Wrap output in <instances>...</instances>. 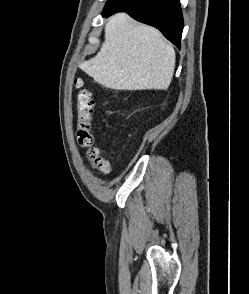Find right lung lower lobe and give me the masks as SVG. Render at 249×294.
<instances>
[{
    "label": "right lung lower lobe",
    "instance_id": "right-lung-lower-lobe-1",
    "mask_svg": "<svg viewBox=\"0 0 249 294\" xmlns=\"http://www.w3.org/2000/svg\"><path fill=\"white\" fill-rule=\"evenodd\" d=\"M125 11L134 19L159 29L174 45L180 48L183 17L179 0H123L103 11V16Z\"/></svg>",
    "mask_w": 249,
    "mask_h": 294
}]
</instances>
